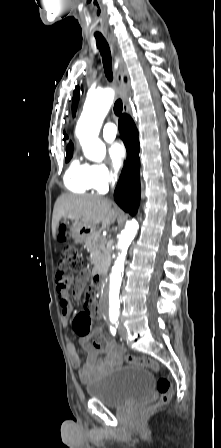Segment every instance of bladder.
<instances>
[{"mask_svg": "<svg viewBox=\"0 0 221 448\" xmlns=\"http://www.w3.org/2000/svg\"><path fill=\"white\" fill-rule=\"evenodd\" d=\"M153 389L154 378L146 369L128 365L99 374L86 384L90 399L110 407H122L150 398Z\"/></svg>", "mask_w": 221, "mask_h": 448, "instance_id": "31cf9c89", "label": "bladder"}]
</instances>
